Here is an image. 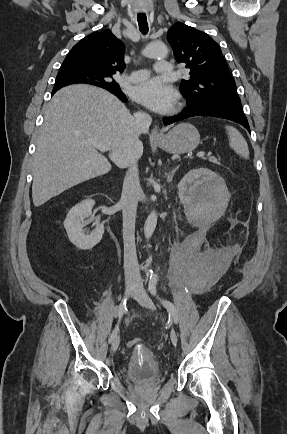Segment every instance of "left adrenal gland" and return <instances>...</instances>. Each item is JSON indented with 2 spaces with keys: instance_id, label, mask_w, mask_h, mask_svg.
I'll return each mask as SVG.
<instances>
[{
  "instance_id": "obj_1",
  "label": "left adrenal gland",
  "mask_w": 287,
  "mask_h": 434,
  "mask_svg": "<svg viewBox=\"0 0 287 434\" xmlns=\"http://www.w3.org/2000/svg\"><path fill=\"white\" fill-rule=\"evenodd\" d=\"M178 170V166L176 168H174L171 172L167 173L165 172V177L167 178L168 182H171L173 179V176L175 174V172Z\"/></svg>"
}]
</instances>
